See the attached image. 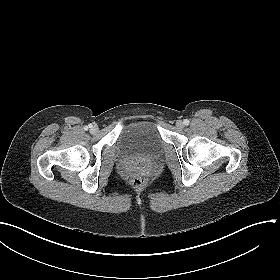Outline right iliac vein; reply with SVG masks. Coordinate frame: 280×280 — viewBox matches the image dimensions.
Returning a JSON list of instances; mask_svg holds the SVG:
<instances>
[{"instance_id":"right-iliac-vein-1","label":"right iliac vein","mask_w":280,"mask_h":280,"mask_svg":"<svg viewBox=\"0 0 280 280\" xmlns=\"http://www.w3.org/2000/svg\"><path fill=\"white\" fill-rule=\"evenodd\" d=\"M90 131H91V133H96L98 131V127L97 126H92Z\"/></svg>"}]
</instances>
